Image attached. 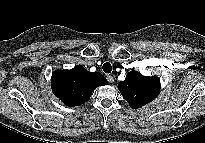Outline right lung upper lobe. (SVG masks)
Here are the masks:
<instances>
[{
  "label": "right lung upper lobe",
  "instance_id": "obj_1",
  "mask_svg": "<svg viewBox=\"0 0 205 143\" xmlns=\"http://www.w3.org/2000/svg\"><path fill=\"white\" fill-rule=\"evenodd\" d=\"M107 83L101 73L88 72L81 65L70 70H56L52 74L54 95L70 107L87 102L95 88Z\"/></svg>",
  "mask_w": 205,
  "mask_h": 143
}]
</instances>
